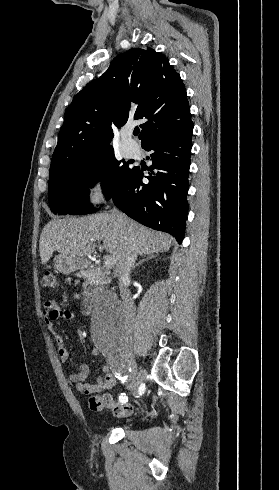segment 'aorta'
Wrapping results in <instances>:
<instances>
[{"mask_svg":"<svg viewBox=\"0 0 279 490\" xmlns=\"http://www.w3.org/2000/svg\"><path fill=\"white\" fill-rule=\"evenodd\" d=\"M91 333L94 341L110 351L128 338L124 308L114 294L101 293L95 298L91 312Z\"/></svg>","mask_w":279,"mask_h":490,"instance_id":"1","label":"aorta"}]
</instances>
